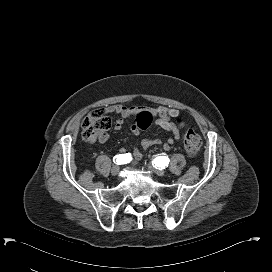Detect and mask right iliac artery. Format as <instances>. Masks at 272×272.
<instances>
[{"mask_svg":"<svg viewBox=\"0 0 272 272\" xmlns=\"http://www.w3.org/2000/svg\"><path fill=\"white\" fill-rule=\"evenodd\" d=\"M132 160V157H131V154L130 153H126V154H119V155H116L114 158H113V161L116 163V164H127L129 163L130 161Z\"/></svg>","mask_w":272,"mask_h":272,"instance_id":"1","label":"right iliac artery"}]
</instances>
